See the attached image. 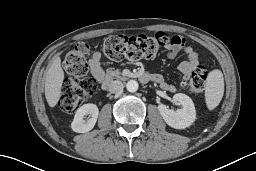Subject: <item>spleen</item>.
Returning a JSON list of instances; mask_svg holds the SVG:
<instances>
[{
	"label": "spleen",
	"instance_id": "spleen-1",
	"mask_svg": "<svg viewBox=\"0 0 256 171\" xmlns=\"http://www.w3.org/2000/svg\"><path fill=\"white\" fill-rule=\"evenodd\" d=\"M224 94V78L220 70H212L205 84V102L209 110L215 109Z\"/></svg>",
	"mask_w": 256,
	"mask_h": 171
}]
</instances>
